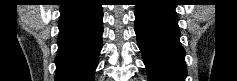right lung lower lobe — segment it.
Here are the masks:
<instances>
[{
  "label": "right lung lower lobe",
  "instance_id": "obj_1",
  "mask_svg": "<svg viewBox=\"0 0 237 81\" xmlns=\"http://www.w3.org/2000/svg\"><path fill=\"white\" fill-rule=\"evenodd\" d=\"M56 81H93L102 48V7L93 0H67L60 7Z\"/></svg>",
  "mask_w": 237,
  "mask_h": 81
}]
</instances>
